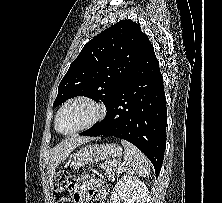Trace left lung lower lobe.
Returning <instances> with one entry per match:
<instances>
[{"instance_id":"left-lung-lower-lobe-1","label":"left lung lower lobe","mask_w":222,"mask_h":203,"mask_svg":"<svg viewBox=\"0 0 222 203\" xmlns=\"http://www.w3.org/2000/svg\"><path fill=\"white\" fill-rule=\"evenodd\" d=\"M106 109L103 121L80 135L114 136L131 142L150 159L157 176L166 145L167 110L163 78L151 43Z\"/></svg>"}]
</instances>
